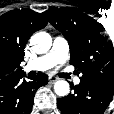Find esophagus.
<instances>
[{
  "mask_svg": "<svg viewBox=\"0 0 114 114\" xmlns=\"http://www.w3.org/2000/svg\"><path fill=\"white\" fill-rule=\"evenodd\" d=\"M57 80H58V78L55 77V76H50V77H49V82H50V83H54V82L57 81Z\"/></svg>",
  "mask_w": 114,
  "mask_h": 114,
  "instance_id": "esophagus-1",
  "label": "esophagus"
}]
</instances>
